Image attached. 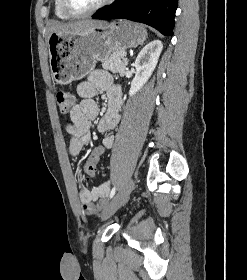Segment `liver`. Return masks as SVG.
<instances>
[{
  "label": "liver",
  "instance_id": "6515ba94",
  "mask_svg": "<svg viewBox=\"0 0 247 280\" xmlns=\"http://www.w3.org/2000/svg\"><path fill=\"white\" fill-rule=\"evenodd\" d=\"M105 22L95 20H82L69 23L53 22L49 27V35L51 33L60 34H80Z\"/></svg>",
  "mask_w": 247,
  "mask_h": 280
}]
</instances>
